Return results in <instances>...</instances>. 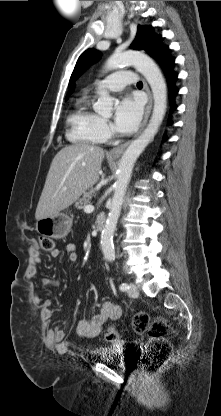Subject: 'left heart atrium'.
Returning <instances> with one entry per match:
<instances>
[{"label":"left heart atrium","mask_w":221,"mask_h":416,"mask_svg":"<svg viewBox=\"0 0 221 416\" xmlns=\"http://www.w3.org/2000/svg\"><path fill=\"white\" fill-rule=\"evenodd\" d=\"M141 117V102L137 98L126 96L117 105L114 129L120 134H129L138 127Z\"/></svg>","instance_id":"left-heart-atrium-1"}]
</instances>
